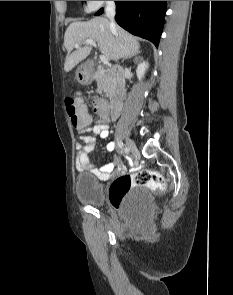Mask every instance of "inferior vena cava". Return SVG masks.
Returning a JSON list of instances; mask_svg holds the SVG:
<instances>
[{"mask_svg": "<svg viewBox=\"0 0 233 295\" xmlns=\"http://www.w3.org/2000/svg\"><path fill=\"white\" fill-rule=\"evenodd\" d=\"M105 14L107 18L110 20V28L114 30L116 28L114 17H115V3L114 1H107Z\"/></svg>", "mask_w": 233, "mask_h": 295, "instance_id": "obj_1", "label": "inferior vena cava"}]
</instances>
